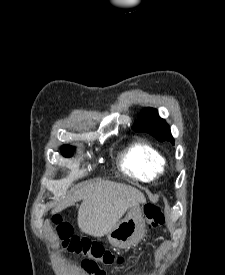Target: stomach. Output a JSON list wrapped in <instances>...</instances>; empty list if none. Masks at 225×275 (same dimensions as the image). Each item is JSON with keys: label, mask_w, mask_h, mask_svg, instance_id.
Wrapping results in <instances>:
<instances>
[{"label": "stomach", "mask_w": 225, "mask_h": 275, "mask_svg": "<svg viewBox=\"0 0 225 275\" xmlns=\"http://www.w3.org/2000/svg\"><path fill=\"white\" fill-rule=\"evenodd\" d=\"M144 235L145 220L142 207L135 205L130 208L126 217L107 234V238L112 246L127 248L137 244Z\"/></svg>", "instance_id": "1"}]
</instances>
